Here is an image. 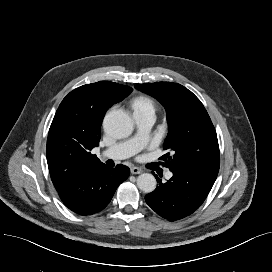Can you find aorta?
<instances>
[{"mask_svg":"<svg viewBox=\"0 0 272 272\" xmlns=\"http://www.w3.org/2000/svg\"><path fill=\"white\" fill-rule=\"evenodd\" d=\"M132 118L122 110L108 112L103 120L104 131L116 139L126 138L133 131ZM137 186L145 193H150L156 188V179L152 174L143 173L137 178Z\"/></svg>","mask_w":272,"mask_h":272,"instance_id":"aorta-1","label":"aorta"}]
</instances>
